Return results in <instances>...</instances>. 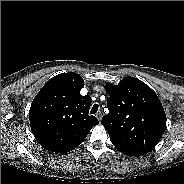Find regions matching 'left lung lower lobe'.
I'll return each instance as SVG.
<instances>
[{
    "label": "left lung lower lobe",
    "instance_id": "obj_1",
    "mask_svg": "<svg viewBox=\"0 0 184 184\" xmlns=\"http://www.w3.org/2000/svg\"><path fill=\"white\" fill-rule=\"evenodd\" d=\"M121 153L128 155V156H141L142 154L133 151V150H129L127 148L124 147H119V146H115Z\"/></svg>",
    "mask_w": 184,
    "mask_h": 184
}]
</instances>
